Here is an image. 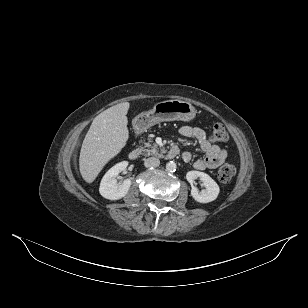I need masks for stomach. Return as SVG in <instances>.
<instances>
[{"instance_id":"obj_1","label":"stomach","mask_w":308,"mask_h":308,"mask_svg":"<svg viewBox=\"0 0 308 308\" xmlns=\"http://www.w3.org/2000/svg\"><path fill=\"white\" fill-rule=\"evenodd\" d=\"M195 114V107L191 103L172 99L158 102L151 110L138 114L133 124L135 129L143 131L163 121H190Z\"/></svg>"}]
</instances>
